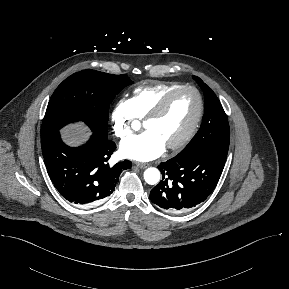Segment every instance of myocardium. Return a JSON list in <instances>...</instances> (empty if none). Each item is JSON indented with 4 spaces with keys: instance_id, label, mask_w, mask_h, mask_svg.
Masks as SVG:
<instances>
[{
    "instance_id": "1",
    "label": "myocardium",
    "mask_w": 289,
    "mask_h": 289,
    "mask_svg": "<svg viewBox=\"0 0 289 289\" xmlns=\"http://www.w3.org/2000/svg\"><path fill=\"white\" fill-rule=\"evenodd\" d=\"M186 90L193 91L197 96V99H198L197 113H196V116L193 120L191 127L186 132V134L176 143L166 146V148L170 151H176V150L183 148L192 140V138L197 133L202 117H203V113H204V100H203V96L201 92L195 86L182 85L170 91L167 95H165V97L159 102V104L144 118V122H143L144 125L149 121H153V120L160 118L168 109L173 98L180 92H183Z\"/></svg>"
}]
</instances>
